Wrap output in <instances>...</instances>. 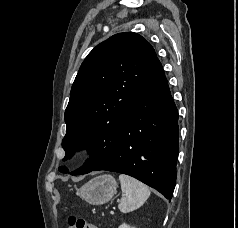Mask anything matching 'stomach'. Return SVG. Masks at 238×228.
<instances>
[{
	"label": "stomach",
	"mask_w": 238,
	"mask_h": 228,
	"mask_svg": "<svg viewBox=\"0 0 238 228\" xmlns=\"http://www.w3.org/2000/svg\"><path fill=\"white\" fill-rule=\"evenodd\" d=\"M117 182L111 175H101L77 189L76 194L92 205H102L110 201L117 192Z\"/></svg>",
	"instance_id": "obj_1"
}]
</instances>
